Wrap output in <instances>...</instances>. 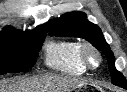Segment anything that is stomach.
<instances>
[{
    "instance_id": "obj_1",
    "label": "stomach",
    "mask_w": 127,
    "mask_h": 92,
    "mask_svg": "<svg viewBox=\"0 0 127 92\" xmlns=\"http://www.w3.org/2000/svg\"><path fill=\"white\" fill-rule=\"evenodd\" d=\"M86 89H87V87L80 86V87H78L76 92H82L83 90H86Z\"/></svg>"
}]
</instances>
